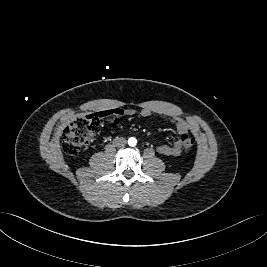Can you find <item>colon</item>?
<instances>
[{
  "instance_id": "1",
  "label": "colon",
  "mask_w": 267,
  "mask_h": 267,
  "mask_svg": "<svg viewBox=\"0 0 267 267\" xmlns=\"http://www.w3.org/2000/svg\"><path fill=\"white\" fill-rule=\"evenodd\" d=\"M102 117L99 113L88 114L70 123L63 131V151L66 154L74 155L85 148L98 134ZM181 141L186 151H190L194 147V138L187 134L181 136Z\"/></svg>"
}]
</instances>
